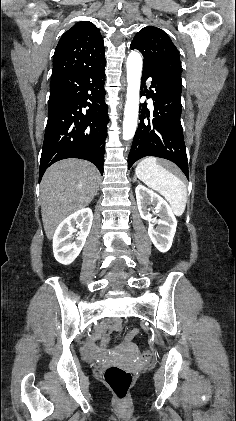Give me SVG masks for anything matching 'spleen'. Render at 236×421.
Returning a JSON list of instances; mask_svg holds the SVG:
<instances>
[{
  "instance_id": "spleen-1",
  "label": "spleen",
  "mask_w": 236,
  "mask_h": 421,
  "mask_svg": "<svg viewBox=\"0 0 236 421\" xmlns=\"http://www.w3.org/2000/svg\"><path fill=\"white\" fill-rule=\"evenodd\" d=\"M135 172L140 180L165 196L176 217L183 215L187 202V188L181 178L158 164L155 156L142 158L137 164Z\"/></svg>"
}]
</instances>
